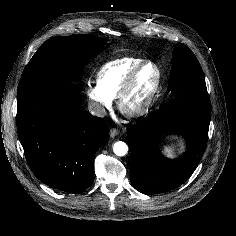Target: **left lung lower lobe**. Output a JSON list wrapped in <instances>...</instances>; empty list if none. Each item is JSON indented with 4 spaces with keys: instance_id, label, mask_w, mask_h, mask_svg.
Wrapping results in <instances>:
<instances>
[{
    "instance_id": "obj_1",
    "label": "left lung lower lobe",
    "mask_w": 236,
    "mask_h": 236,
    "mask_svg": "<svg viewBox=\"0 0 236 236\" xmlns=\"http://www.w3.org/2000/svg\"><path fill=\"white\" fill-rule=\"evenodd\" d=\"M210 118L208 93L191 92L175 96L150 116L129 126L133 186L150 195L173 190L185 182L205 151ZM170 133L181 134L189 144L188 151L176 160L163 157L157 148L162 135Z\"/></svg>"
}]
</instances>
